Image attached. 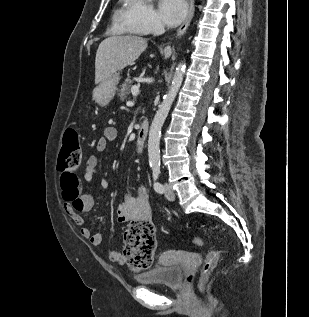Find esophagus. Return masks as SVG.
I'll use <instances>...</instances> for the list:
<instances>
[{
	"label": "esophagus",
	"instance_id": "34e87169",
	"mask_svg": "<svg viewBox=\"0 0 309 317\" xmlns=\"http://www.w3.org/2000/svg\"><path fill=\"white\" fill-rule=\"evenodd\" d=\"M194 11H195L194 0H190L188 14H187L184 22L182 23V25L177 30L176 36L179 37L186 32V30H187V28H188V26L193 18Z\"/></svg>",
	"mask_w": 309,
	"mask_h": 317
}]
</instances>
